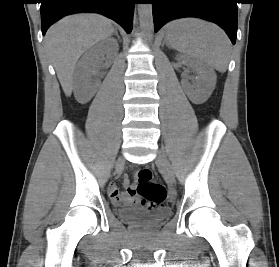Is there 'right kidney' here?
<instances>
[{
  "instance_id": "1",
  "label": "right kidney",
  "mask_w": 279,
  "mask_h": 267,
  "mask_svg": "<svg viewBox=\"0 0 279 267\" xmlns=\"http://www.w3.org/2000/svg\"><path fill=\"white\" fill-rule=\"evenodd\" d=\"M118 50V44L115 43V40L109 39L95 45L85 53L83 56L85 70L81 68L74 78V92L78 102L87 103L96 93L97 81L92 78V68L99 63V56L104 54L108 57L117 55Z\"/></svg>"
}]
</instances>
